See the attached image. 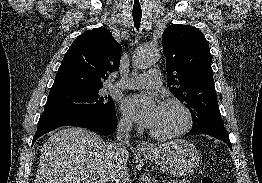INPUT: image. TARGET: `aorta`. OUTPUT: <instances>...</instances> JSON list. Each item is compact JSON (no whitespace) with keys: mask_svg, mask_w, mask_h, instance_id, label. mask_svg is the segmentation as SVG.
I'll return each mask as SVG.
<instances>
[{"mask_svg":"<svg viewBox=\"0 0 262 183\" xmlns=\"http://www.w3.org/2000/svg\"><path fill=\"white\" fill-rule=\"evenodd\" d=\"M160 58V52L153 47H140L134 54V66L139 69H146L154 65Z\"/></svg>","mask_w":262,"mask_h":183,"instance_id":"1","label":"aorta"}]
</instances>
